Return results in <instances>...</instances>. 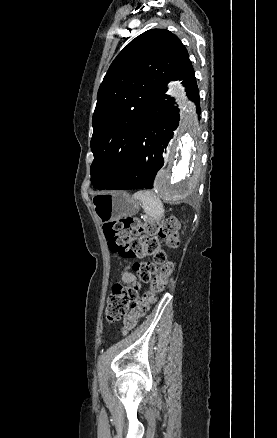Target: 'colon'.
Listing matches in <instances>:
<instances>
[{"label":"colon","mask_w":277,"mask_h":438,"mask_svg":"<svg viewBox=\"0 0 277 438\" xmlns=\"http://www.w3.org/2000/svg\"><path fill=\"white\" fill-rule=\"evenodd\" d=\"M180 224L176 218L142 221L125 215L119 222L103 226L109 249L123 258L152 257V261L136 263L133 274L141 282L152 279L151 289L138 298L137 284L120 283L108 298L106 318L110 322L124 319L123 332L133 329L157 295L164 291L173 272L167 260L163 240L169 247L179 243ZM133 234V236H131ZM157 274L156 276H154ZM154 276V277H153Z\"/></svg>","instance_id":"1"}]
</instances>
